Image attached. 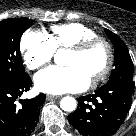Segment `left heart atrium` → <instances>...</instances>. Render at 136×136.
<instances>
[{"instance_id":"1","label":"left heart atrium","mask_w":136,"mask_h":136,"mask_svg":"<svg viewBox=\"0 0 136 136\" xmlns=\"http://www.w3.org/2000/svg\"><path fill=\"white\" fill-rule=\"evenodd\" d=\"M34 80L38 90L50 94L79 92L90 84V79L75 65L48 67L36 74Z\"/></svg>"}]
</instances>
